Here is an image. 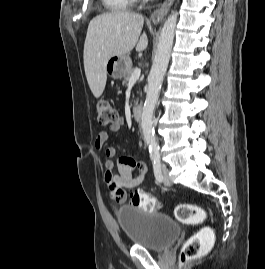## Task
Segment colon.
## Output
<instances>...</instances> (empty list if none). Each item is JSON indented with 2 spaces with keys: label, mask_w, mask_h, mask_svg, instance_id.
<instances>
[{
  "label": "colon",
  "mask_w": 265,
  "mask_h": 269,
  "mask_svg": "<svg viewBox=\"0 0 265 269\" xmlns=\"http://www.w3.org/2000/svg\"><path fill=\"white\" fill-rule=\"evenodd\" d=\"M98 122L101 126H111L118 120L116 109L107 101L100 100L96 106ZM133 205L146 211L154 212L159 207L158 200L143 191L136 190L131 194ZM176 218L183 223H199L205 219V212L192 203H181L175 209ZM212 237V230L204 228L192 235L183 245L182 262L191 261L200 256L206 242Z\"/></svg>",
  "instance_id": "1"
}]
</instances>
